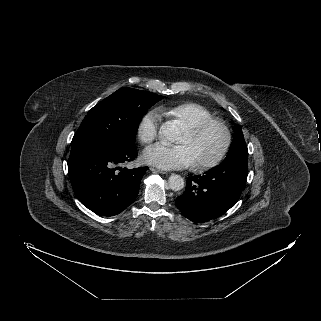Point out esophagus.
Masks as SVG:
<instances>
[{
	"instance_id": "34e87169",
	"label": "esophagus",
	"mask_w": 321,
	"mask_h": 321,
	"mask_svg": "<svg viewBox=\"0 0 321 321\" xmlns=\"http://www.w3.org/2000/svg\"><path fill=\"white\" fill-rule=\"evenodd\" d=\"M151 171L156 172V173H160V174H168L166 171L160 170V169H156L154 167L150 168Z\"/></svg>"
}]
</instances>
